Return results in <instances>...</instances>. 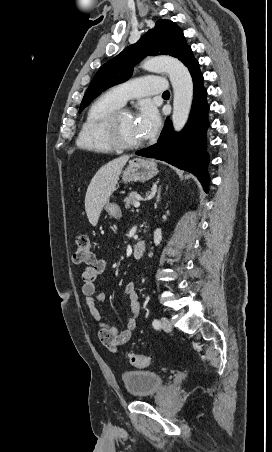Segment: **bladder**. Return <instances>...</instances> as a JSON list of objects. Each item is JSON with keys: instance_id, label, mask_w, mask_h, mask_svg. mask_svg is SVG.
I'll use <instances>...</instances> for the list:
<instances>
[{"instance_id": "31cf9c89", "label": "bladder", "mask_w": 272, "mask_h": 452, "mask_svg": "<svg viewBox=\"0 0 272 452\" xmlns=\"http://www.w3.org/2000/svg\"><path fill=\"white\" fill-rule=\"evenodd\" d=\"M127 394L135 398H145L158 393L163 385V377L151 370H128L120 375Z\"/></svg>"}]
</instances>
